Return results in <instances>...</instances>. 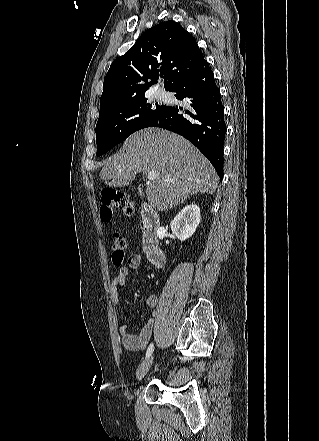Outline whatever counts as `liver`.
Segmentation results:
<instances>
[{
	"label": "liver",
	"instance_id": "1",
	"mask_svg": "<svg viewBox=\"0 0 319 441\" xmlns=\"http://www.w3.org/2000/svg\"><path fill=\"white\" fill-rule=\"evenodd\" d=\"M156 171L158 177L146 188L147 200L157 210L170 209L190 195L212 194L218 175L211 163L183 137L159 128L132 134L120 151L100 171V179L111 185H129L139 172ZM174 179L175 182H165Z\"/></svg>",
	"mask_w": 319,
	"mask_h": 441
}]
</instances>
